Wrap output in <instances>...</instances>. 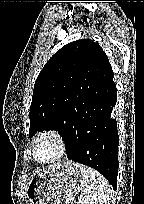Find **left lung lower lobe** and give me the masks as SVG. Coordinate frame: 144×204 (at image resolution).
<instances>
[{
    "instance_id": "left-lung-lower-lobe-1",
    "label": "left lung lower lobe",
    "mask_w": 144,
    "mask_h": 204,
    "mask_svg": "<svg viewBox=\"0 0 144 204\" xmlns=\"http://www.w3.org/2000/svg\"><path fill=\"white\" fill-rule=\"evenodd\" d=\"M110 63L98 69L86 90V103L75 131L65 140L67 157L99 171L116 190L118 175L116 85Z\"/></svg>"
}]
</instances>
